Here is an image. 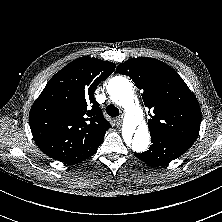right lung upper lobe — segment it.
<instances>
[{
    "instance_id": "1",
    "label": "right lung upper lobe",
    "mask_w": 222,
    "mask_h": 222,
    "mask_svg": "<svg viewBox=\"0 0 222 222\" xmlns=\"http://www.w3.org/2000/svg\"><path fill=\"white\" fill-rule=\"evenodd\" d=\"M114 69L112 62L80 57L50 79L29 116L33 138L43 153L64 163H79L97 151L111 125L94 92Z\"/></svg>"
}]
</instances>
